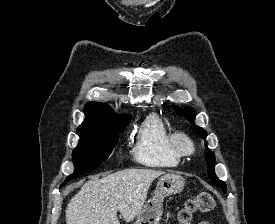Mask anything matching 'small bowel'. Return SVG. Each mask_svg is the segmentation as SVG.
Masks as SVG:
<instances>
[{
    "label": "small bowel",
    "mask_w": 275,
    "mask_h": 224,
    "mask_svg": "<svg viewBox=\"0 0 275 224\" xmlns=\"http://www.w3.org/2000/svg\"><path fill=\"white\" fill-rule=\"evenodd\" d=\"M199 224H210V223H208V222H206V221H202V222H200Z\"/></svg>",
    "instance_id": "1"
}]
</instances>
